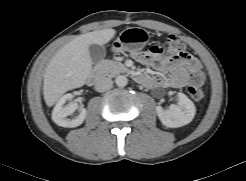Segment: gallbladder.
<instances>
[{
  "label": "gallbladder",
  "instance_id": "bac80fb5",
  "mask_svg": "<svg viewBox=\"0 0 246 181\" xmlns=\"http://www.w3.org/2000/svg\"><path fill=\"white\" fill-rule=\"evenodd\" d=\"M89 54L94 64L99 63L106 55V49L103 46L92 44L89 46Z\"/></svg>",
  "mask_w": 246,
  "mask_h": 181
}]
</instances>
